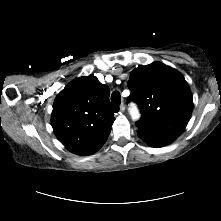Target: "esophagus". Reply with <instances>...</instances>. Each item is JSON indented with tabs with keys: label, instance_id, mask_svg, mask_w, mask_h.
Here are the masks:
<instances>
[{
	"label": "esophagus",
	"instance_id": "esophagus-1",
	"mask_svg": "<svg viewBox=\"0 0 221 221\" xmlns=\"http://www.w3.org/2000/svg\"><path fill=\"white\" fill-rule=\"evenodd\" d=\"M120 110H121L122 112L125 110V106H124L123 103H121V105H120Z\"/></svg>",
	"mask_w": 221,
	"mask_h": 221
}]
</instances>
